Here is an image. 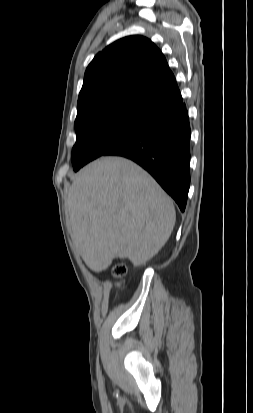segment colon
<instances>
[{"instance_id":"obj_1","label":"colon","mask_w":253,"mask_h":413,"mask_svg":"<svg viewBox=\"0 0 253 413\" xmlns=\"http://www.w3.org/2000/svg\"><path fill=\"white\" fill-rule=\"evenodd\" d=\"M127 272V267L122 263H117L111 268V273L114 277H123Z\"/></svg>"}]
</instances>
